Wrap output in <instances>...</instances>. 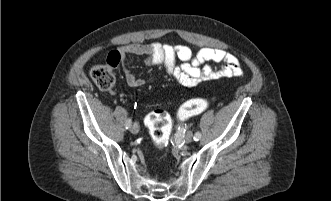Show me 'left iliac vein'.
I'll use <instances>...</instances> for the list:
<instances>
[{
	"mask_svg": "<svg viewBox=\"0 0 331 201\" xmlns=\"http://www.w3.org/2000/svg\"><path fill=\"white\" fill-rule=\"evenodd\" d=\"M193 140V133L191 131H187L184 135V141L186 143H190Z\"/></svg>",
	"mask_w": 331,
	"mask_h": 201,
	"instance_id": "4c4485c4",
	"label": "left iliac vein"
}]
</instances>
